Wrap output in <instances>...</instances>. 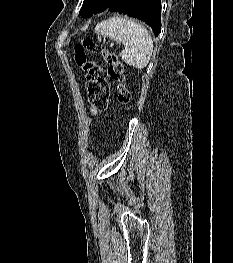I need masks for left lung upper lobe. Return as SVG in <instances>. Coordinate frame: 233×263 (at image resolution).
Masks as SVG:
<instances>
[{"label":"left lung upper lobe","instance_id":"1","mask_svg":"<svg viewBox=\"0 0 233 263\" xmlns=\"http://www.w3.org/2000/svg\"><path fill=\"white\" fill-rule=\"evenodd\" d=\"M114 1L115 0H84L79 14L82 17H91L95 13L108 9Z\"/></svg>","mask_w":233,"mask_h":263}]
</instances>
